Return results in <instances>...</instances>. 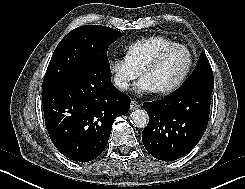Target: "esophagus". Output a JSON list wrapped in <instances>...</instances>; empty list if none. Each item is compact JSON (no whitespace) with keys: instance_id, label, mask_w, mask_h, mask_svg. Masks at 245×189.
<instances>
[{"instance_id":"1","label":"esophagus","mask_w":245,"mask_h":189,"mask_svg":"<svg viewBox=\"0 0 245 189\" xmlns=\"http://www.w3.org/2000/svg\"><path fill=\"white\" fill-rule=\"evenodd\" d=\"M140 107V104L134 100L131 101V104H130V110H135V109H138Z\"/></svg>"}]
</instances>
